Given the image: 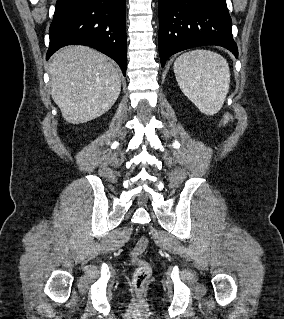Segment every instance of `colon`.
<instances>
[{
    "label": "colon",
    "instance_id": "colon-1",
    "mask_svg": "<svg viewBox=\"0 0 284 319\" xmlns=\"http://www.w3.org/2000/svg\"><path fill=\"white\" fill-rule=\"evenodd\" d=\"M232 115L226 114L222 120V126H227L232 121ZM149 245L147 237H141L135 244L132 251V261L136 266V270L133 276V285L137 291H141L146 285L150 275V264L141 259L140 256L145 252Z\"/></svg>",
    "mask_w": 284,
    "mask_h": 319
}]
</instances>
